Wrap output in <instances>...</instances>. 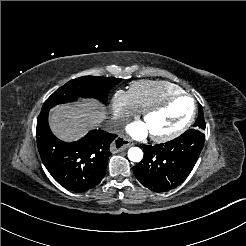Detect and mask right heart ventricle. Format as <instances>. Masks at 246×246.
I'll return each instance as SVG.
<instances>
[{"instance_id": "obj_1", "label": "right heart ventricle", "mask_w": 246, "mask_h": 246, "mask_svg": "<svg viewBox=\"0 0 246 246\" xmlns=\"http://www.w3.org/2000/svg\"><path fill=\"white\" fill-rule=\"evenodd\" d=\"M181 93L182 90L176 85L162 81L142 80L132 84L129 88L133 109L137 112H144Z\"/></svg>"}]
</instances>
